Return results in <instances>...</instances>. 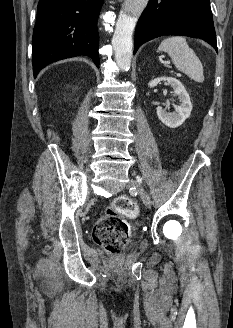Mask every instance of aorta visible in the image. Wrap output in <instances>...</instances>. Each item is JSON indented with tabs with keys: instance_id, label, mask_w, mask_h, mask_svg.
<instances>
[{
	"instance_id": "aorta-1",
	"label": "aorta",
	"mask_w": 233,
	"mask_h": 328,
	"mask_svg": "<svg viewBox=\"0 0 233 328\" xmlns=\"http://www.w3.org/2000/svg\"><path fill=\"white\" fill-rule=\"evenodd\" d=\"M149 0H126L120 12L112 38L115 60L121 70L127 71L131 66L133 54L132 35L135 22L147 6Z\"/></svg>"
}]
</instances>
